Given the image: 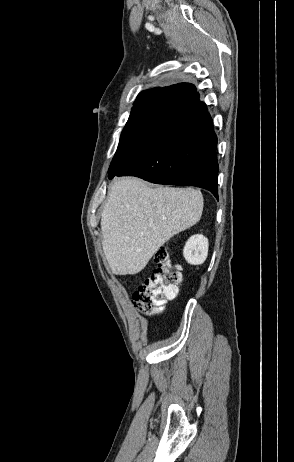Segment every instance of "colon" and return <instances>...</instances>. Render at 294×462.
<instances>
[{
    "label": "colon",
    "instance_id": "colon-1",
    "mask_svg": "<svg viewBox=\"0 0 294 462\" xmlns=\"http://www.w3.org/2000/svg\"><path fill=\"white\" fill-rule=\"evenodd\" d=\"M156 267L152 275L134 292V307L146 316L161 313L167 300L178 294L182 282L180 266L174 265L166 249H160L154 256Z\"/></svg>",
    "mask_w": 294,
    "mask_h": 462
}]
</instances>
